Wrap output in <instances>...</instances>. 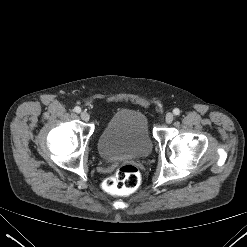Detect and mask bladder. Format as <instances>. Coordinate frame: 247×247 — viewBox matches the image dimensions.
Wrapping results in <instances>:
<instances>
[{"mask_svg": "<svg viewBox=\"0 0 247 247\" xmlns=\"http://www.w3.org/2000/svg\"><path fill=\"white\" fill-rule=\"evenodd\" d=\"M152 147L147 117L134 109L117 111L97 142L99 155L106 161L144 158L151 153Z\"/></svg>", "mask_w": 247, "mask_h": 247, "instance_id": "obj_1", "label": "bladder"}]
</instances>
